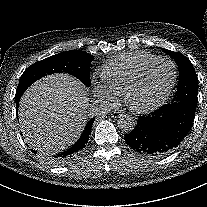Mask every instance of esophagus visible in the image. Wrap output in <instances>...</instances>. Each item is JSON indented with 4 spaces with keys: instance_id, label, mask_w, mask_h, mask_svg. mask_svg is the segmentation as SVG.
<instances>
[{
    "instance_id": "esophagus-1",
    "label": "esophagus",
    "mask_w": 207,
    "mask_h": 207,
    "mask_svg": "<svg viewBox=\"0 0 207 207\" xmlns=\"http://www.w3.org/2000/svg\"><path fill=\"white\" fill-rule=\"evenodd\" d=\"M121 115H122V112L118 111V110H114L110 113V117L113 119H116V118L120 117Z\"/></svg>"
}]
</instances>
